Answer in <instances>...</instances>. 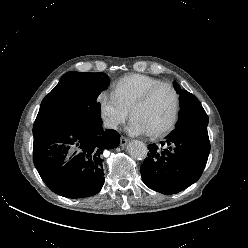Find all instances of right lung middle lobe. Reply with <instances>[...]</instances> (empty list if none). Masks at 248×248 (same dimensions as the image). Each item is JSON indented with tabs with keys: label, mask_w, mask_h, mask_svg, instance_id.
I'll list each match as a JSON object with an SVG mask.
<instances>
[{
	"label": "right lung middle lobe",
	"mask_w": 248,
	"mask_h": 248,
	"mask_svg": "<svg viewBox=\"0 0 248 248\" xmlns=\"http://www.w3.org/2000/svg\"><path fill=\"white\" fill-rule=\"evenodd\" d=\"M108 83L105 73L67 72L43 99L35 123L102 122L97 97Z\"/></svg>",
	"instance_id": "1"
}]
</instances>
